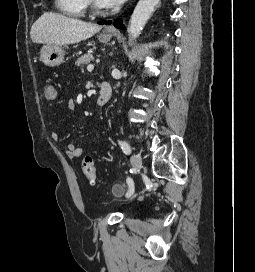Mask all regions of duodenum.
<instances>
[{"label":"duodenum","instance_id":"410a0bca","mask_svg":"<svg viewBox=\"0 0 255 272\" xmlns=\"http://www.w3.org/2000/svg\"><path fill=\"white\" fill-rule=\"evenodd\" d=\"M113 96V90L108 82H102L100 84V93L97 99V104L99 106H104L107 104Z\"/></svg>","mask_w":255,"mask_h":272}]
</instances>
